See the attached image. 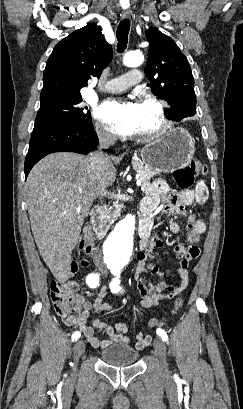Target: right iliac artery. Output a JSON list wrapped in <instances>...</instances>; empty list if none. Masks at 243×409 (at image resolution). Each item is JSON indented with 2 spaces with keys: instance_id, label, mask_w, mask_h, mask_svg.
Instances as JSON below:
<instances>
[{
  "instance_id": "82829eb1",
  "label": "right iliac artery",
  "mask_w": 243,
  "mask_h": 409,
  "mask_svg": "<svg viewBox=\"0 0 243 409\" xmlns=\"http://www.w3.org/2000/svg\"><path fill=\"white\" fill-rule=\"evenodd\" d=\"M86 283L89 287L95 288L99 284V275L97 273H91L86 278ZM80 337V332L76 331L72 335V341L77 340Z\"/></svg>"
}]
</instances>
